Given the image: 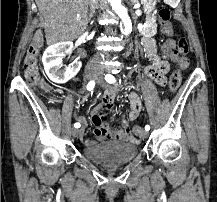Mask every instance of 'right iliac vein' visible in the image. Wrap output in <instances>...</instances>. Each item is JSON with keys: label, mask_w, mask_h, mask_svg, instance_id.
I'll return each instance as SVG.
<instances>
[{"label": "right iliac vein", "mask_w": 217, "mask_h": 202, "mask_svg": "<svg viewBox=\"0 0 217 202\" xmlns=\"http://www.w3.org/2000/svg\"><path fill=\"white\" fill-rule=\"evenodd\" d=\"M86 79H87V80H93V79H94V75L88 73V74L86 75ZM71 132H72V136H73V137H77V136L79 135V130H77V129H72Z\"/></svg>", "instance_id": "63e3f726"}]
</instances>
